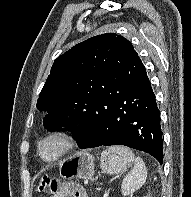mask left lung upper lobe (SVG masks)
<instances>
[{
	"label": "left lung upper lobe",
	"mask_w": 191,
	"mask_h": 197,
	"mask_svg": "<svg viewBox=\"0 0 191 197\" xmlns=\"http://www.w3.org/2000/svg\"><path fill=\"white\" fill-rule=\"evenodd\" d=\"M145 69L132 44L106 33L81 42L53 63L37 108L49 131L77 132L82 119L120 87L129 73Z\"/></svg>",
	"instance_id": "obj_1"
}]
</instances>
